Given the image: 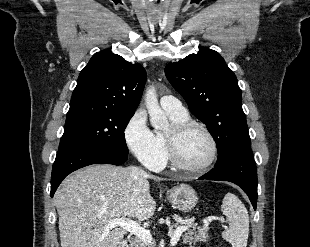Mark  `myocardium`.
<instances>
[{
    "label": "myocardium",
    "mask_w": 310,
    "mask_h": 247,
    "mask_svg": "<svg viewBox=\"0 0 310 247\" xmlns=\"http://www.w3.org/2000/svg\"><path fill=\"white\" fill-rule=\"evenodd\" d=\"M198 129L201 130L209 139L211 144V156L209 160L199 167H190L183 163L179 153V141L182 136H184L187 132ZM168 155L171 163L177 169L184 171L191 175H199L208 170L217 160L218 157V145L215 137L211 133V131L204 126L203 124L187 120L183 122H175L173 123L171 129L165 135Z\"/></svg>",
    "instance_id": "f54148a6"
}]
</instances>
